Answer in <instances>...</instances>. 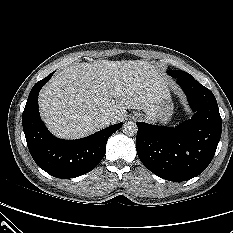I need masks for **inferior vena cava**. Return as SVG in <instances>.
I'll list each match as a JSON object with an SVG mask.
<instances>
[{"label": "inferior vena cava", "instance_id": "obj_1", "mask_svg": "<svg viewBox=\"0 0 233 233\" xmlns=\"http://www.w3.org/2000/svg\"><path fill=\"white\" fill-rule=\"evenodd\" d=\"M96 122L105 127L111 123V118L108 115H102L96 118Z\"/></svg>", "mask_w": 233, "mask_h": 233}]
</instances>
